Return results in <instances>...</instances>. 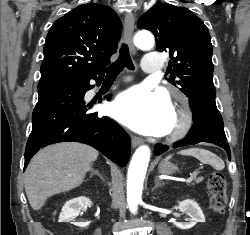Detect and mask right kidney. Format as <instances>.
<instances>
[{"label": "right kidney", "instance_id": "right-kidney-1", "mask_svg": "<svg viewBox=\"0 0 250 235\" xmlns=\"http://www.w3.org/2000/svg\"><path fill=\"white\" fill-rule=\"evenodd\" d=\"M91 205V200L83 196L67 201L64 204L59 215V222H70L71 224H74L76 226L85 227L87 224L82 222H75V219L83 208Z\"/></svg>", "mask_w": 250, "mask_h": 235}]
</instances>
